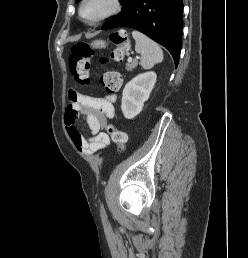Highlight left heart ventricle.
Wrapping results in <instances>:
<instances>
[{"label":"left heart ventricle","mask_w":248,"mask_h":258,"mask_svg":"<svg viewBox=\"0 0 248 258\" xmlns=\"http://www.w3.org/2000/svg\"><path fill=\"white\" fill-rule=\"evenodd\" d=\"M110 6V0H89L85 5L84 14L93 19L104 13Z\"/></svg>","instance_id":"left-heart-ventricle-1"}]
</instances>
